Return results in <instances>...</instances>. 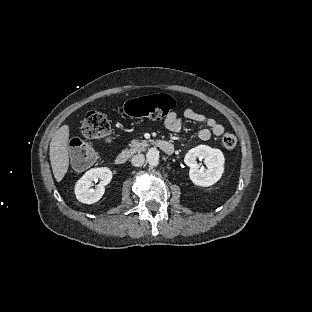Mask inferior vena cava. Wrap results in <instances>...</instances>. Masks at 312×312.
Here are the masks:
<instances>
[{"mask_svg":"<svg viewBox=\"0 0 312 312\" xmlns=\"http://www.w3.org/2000/svg\"><path fill=\"white\" fill-rule=\"evenodd\" d=\"M145 156L143 154H137L132 157L131 163L133 166L139 167L144 164Z\"/></svg>","mask_w":312,"mask_h":312,"instance_id":"1","label":"inferior vena cava"}]
</instances>
